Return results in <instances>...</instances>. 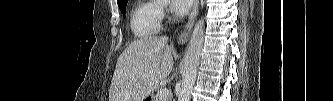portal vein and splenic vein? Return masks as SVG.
I'll use <instances>...</instances> for the list:
<instances>
[{
  "instance_id": "18ae733b",
  "label": "portal vein and splenic vein",
  "mask_w": 333,
  "mask_h": 101,
  "mask_svg": "<svg viewBox=\"0 0 333 101\" xmlns=\"http://www.w3.org/2000/svg\"><path fill=\"white\" fill-rule=\"evenodd\" d=\"M168 96H169L168 89H161L160 90V98L161 99H166Z\"/></svg>"
}]
</instances>
